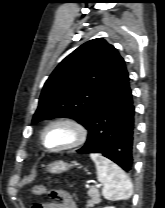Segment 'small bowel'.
Segmentation results:
<instances>
[{"instance_id":"1","label":"small bowel","mask_w":165,"mask_h":208,"mask_svg":"<svg viewBox=\"0 0 165 208\" xmlns=\"http://www.w3.org/2000/svg\"><path fill=\"white\" fill-rule=\"evenodd\" d=\"M52 201L39 203L41 208H77L69 193L63 190L51 192Z\"/></svg>"}]
</instances>
